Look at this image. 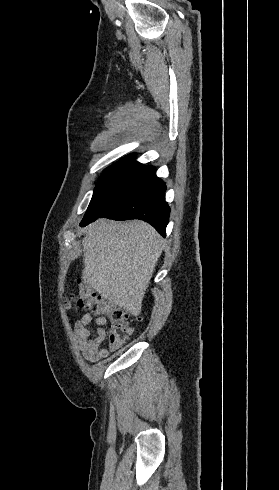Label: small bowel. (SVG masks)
I'll return each instance as SVG.
<instances>
[{
    "label": "small bowel",
    "instance_id": "c3829d8e",
    "mask_svg": "<svg viewBox=\"0 0 279 490\" xmlns=\"http://www.w3.org/2000/svg\"><path fill=\"white\" fill-rule=\"evenodd\" d=\"M95 324L97 326L96 335L91 337L89 326ZM108 320L101 316H93L91 314L83 315L74 325V340L77 347L81 350L85 359L91 362H97L109 356L110 350L104 347L106 339L105 327Z\"/></svg>",
    "mask_w": 279,
    "mask_h": 490
}]
</instances>
